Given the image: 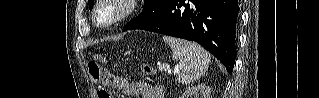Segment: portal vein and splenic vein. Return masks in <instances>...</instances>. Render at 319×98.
Here are the masks:
<instances>
[{
	"instance_id": "1",
	"label": "portal vein and splenic vein",
	"mask_w": 319,
	"mask_h": 98,
	"mask_svg": "<svg viewBox=\"0 0 319 98\" xmlns=\"http://www.w3.org/2000/svg\"><path fill=\"white\" fill-rule=\"evenodd\" d=\"M159 70L171 72L170 66L165 65V64L164 65H159Z\"/></svg>"
}]
</instances>
